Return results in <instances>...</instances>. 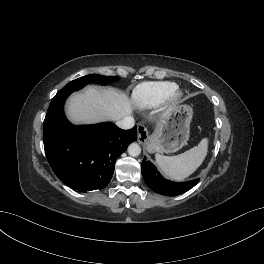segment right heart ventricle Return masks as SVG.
<instances>
[{
	"label": "right heart ventricle",
	"mask_w": 264,
	"mask_h": 264,
	"mask_svg": "<svg viewBox=\"0 0 264 264\" xmlns=\"http://www.w3.org/2000/svg\"><path fill=\"white\" fill-rule=\"evenodd\" d=\"M177 88L170 81H150L139 84L133 91V101L141 109L153 108L163 103Z\"/></svg>",
	"instance_id": "e07e8e85"
}]
</instances>
